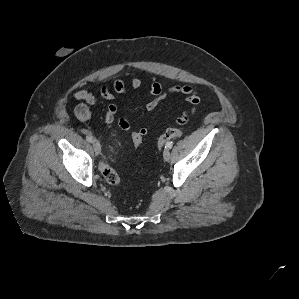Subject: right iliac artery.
<instances>
[{"label": "right iliac artery", "instance_id": "1", "mask_svg": "<svg viewBox=\"0 0 299 299\" xmlns=\"http://www.w3.org/2000/svg\"><path fill=\"white\" fill-rule=\"evenodd\" d=\"M86 140L88 142H93V137L92 136H86Z\"/></svg>", "mask_w": 299, "mask_h": 299}]
</instances>
